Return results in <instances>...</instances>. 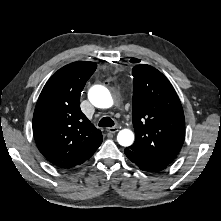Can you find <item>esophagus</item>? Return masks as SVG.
I'll return each mask as SVG.
<instances>
[{
    "instance_id": "34e87169",
    "label": "esophagus",
    "mask_w": 221,
    "mask_h": 221,
    "mask_svg": "<svg viewBox=\"0 0 221 221\" xmlns=\"http://www.w3.org/2000/svg\"><path fill=\"white\" fill-rule=\"evenodd\" d=\"M119 130L118 127H110V128H106V131L109 133H116Z\"/></svg>"
}]
</instances>
